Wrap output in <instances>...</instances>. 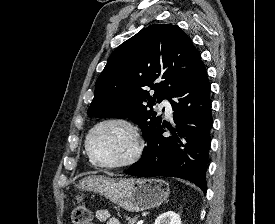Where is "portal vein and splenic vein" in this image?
<instances>
[{
  "instance_id": "portal-vein-and-splenic-vein-1",
  "label": "portal vein and splenic vein",
  "mask_w": 275,
  "mask_h": 224,
  "mask_svg": "<svg viewBox=\"0 0 275 224\" xmlns=\"http://www.w3.org/2000/svg\"><path fill=\"white\" fill-rule=\"evenodd\" d=\"M143 222H144L143 220H140L137 224H143Z\"/></svg>"
}]
</instances>
